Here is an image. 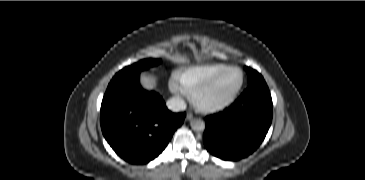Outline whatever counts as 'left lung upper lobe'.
Instances as JSON below:
<instances>
[{"mask_svg": "<svg viewBox=\"0 0 365 180\" xmlns=\"http://www.w3.org/2000/svg\"><path fill=\"white\" fill-rule=\"evenodd\" d=\"M245 70L247 71V74H248V84L249 85L264 81L261 74L258 73L256 70L251 69L249 67H245Z\"/></svg>", "mask_w": 365, "mask_h": 180, "instance_id": "left-lung-upper-lobe-1", "label": "left lung upper lobe"}]
</instances>
